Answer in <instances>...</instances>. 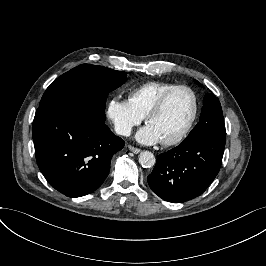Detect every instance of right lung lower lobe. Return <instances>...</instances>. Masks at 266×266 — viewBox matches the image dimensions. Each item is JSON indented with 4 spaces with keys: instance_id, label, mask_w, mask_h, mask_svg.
<instances>
[{
    "instance_id": "right-lung-lower-lobe-1",
    "label": "right lung lower lobe",
    "mask_w": 266,
    "mask_h": 266,
    "mask_svg": "<svg viewBox=\"0 0 266 266\" xmlns=\"http://www.w3.org/2000/svg\"><path fill=\"white\" fill-rule=\"evenodd\" d=\"M32 134L40 171L68 197L96 190L110 171L111 157L124 147L105 125V116L92 104L71 97L40 106Z\"/></svg>"
}]
</instances>
